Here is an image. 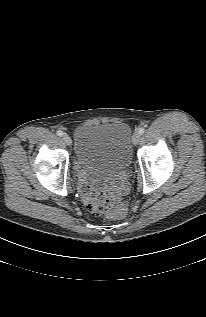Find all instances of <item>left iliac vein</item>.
I'll list each match as a JSON object with an SVG mask.
<instances>
[{
	"instance_id": "1",
	"label": "left iliac vein",
	"mask_w": 206,
	"mask_h": 317,
	"mask_svg": "<svg viewBox=\"0 0 206 317\" xmlns=\"http://www.w3.org/2000/svg\"><path fill=\"white\" fill-rule=\"evenodd\" d=\"M141 134L139 132L134 133L132 142L134 145L138 144L140 141Z\"/></svg>"
}]
</instances>
